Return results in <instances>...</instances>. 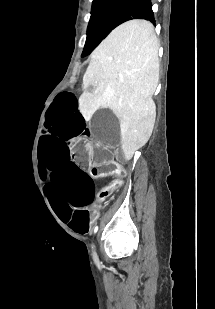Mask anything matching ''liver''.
<instances>
[{"label": "liver", "mask_w": 215, "mask_h": 309, "mask_svg": "<svg viewBox=\"0 0 215 309\" xmlns=\"http://www.w3.org/2000/svg\"><path fill=\"white\" fill-rule=\"evenodd\" d=\"M159 42L150 20H127L93 50L79 98L85 120L111 108L121 128L126 161L146 144L153 130L156 106L152 98L159 76ZM91 84L93 90H87Z\"/></svg>", "instance_id": "6515ba94"}]
</instances>
